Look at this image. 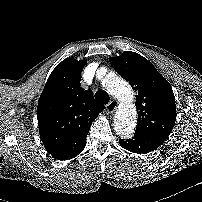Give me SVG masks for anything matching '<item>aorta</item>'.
<instances>
[{
  "label": "aorta",
  "mask_w": 202,
  "mask_h": 202,
  "mask_svg": "<svg viewBox=\"0 0 202 202\" xmlns=\"http://www.w3.org/2000/svg\"><path fill=\"white\" fill-rule=\"evenodd\" d=\"M107 89L123 103L114 117L115 132L120 137L129 138L133 135L137 124V111L133 104V90L125 80L118 77L109 80Z\"/></svg>",
  "instance_id": "obj_1"
}]
</instances>
